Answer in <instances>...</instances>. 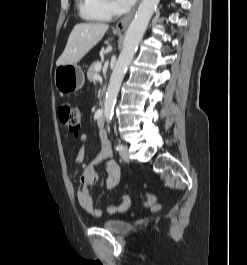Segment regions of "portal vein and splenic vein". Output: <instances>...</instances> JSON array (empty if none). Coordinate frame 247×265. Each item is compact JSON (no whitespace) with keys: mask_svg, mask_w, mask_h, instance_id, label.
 <instances>
[{"mask_svg":"<svg viewBox=\"0 0 247 265\" xmlns=\"http://www.w3.org/2000/svg\"><path fill=\"white\" fill-rule=\"evenodd\" d=\"M101 68H102V66H101V65H97L95 69H96V71H100V70H101ZM94 79H97V76H95V77H94Z\"/></svg>","mask_w":247,"mask_h":265,"instance_id":"obj_1","label":"portal vein and splenic vein"}]
</instances>
